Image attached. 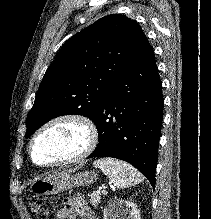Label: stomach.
Listing matches in <instances>:
<instances>
[{"label": "stomach", "mask_w": 211, "mask_h": 219, "mask_svg": "<svg viewBox=\"0 0 211 219\" xmlns=\"http://www.w3.org/2000/svg\"><path fill=\"white\" fill-rule=\"evenodd\" d=\"M96 180L97 174L94 171L80 173L63 171L36 181L31 185V191L40 195H53L75 187L92 184Z\"/></svg>", "instance_id": "0dacf381"}]
</instances>
